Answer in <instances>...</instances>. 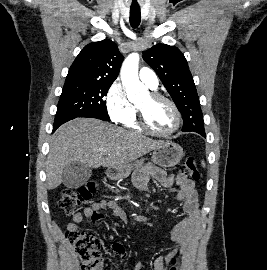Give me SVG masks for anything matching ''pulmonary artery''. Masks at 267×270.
I'll use <instances>...</instances> for the list:
<instances>
[{
  "label": "pulmonary artery",
  "instance_id": "obj_1",
  "mask_svg": "<svg viewBox=\"0 0 267 270\" xmlns=\"http://www.w3.org/2000/svg\"><path fill=\"white\" fill-rule=\"evenodd\" d=\"M139 78L151 89H156L158 86V77L156 73L148 67H142L140 69Z\"/></svg>",
  "mask_w": 267,
  "mask_h": 270
}]
</instances>
